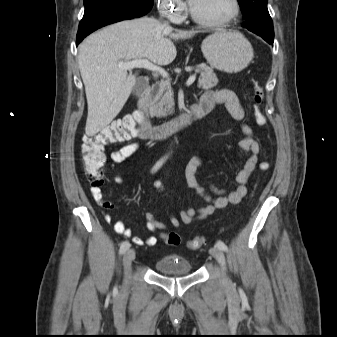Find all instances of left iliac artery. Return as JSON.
<instances>
[{
    "label": "left iliac artery",
    "instance_id": "1",
    "mask_svg": "<svg viewBox=\"0 0 337 337\" xmlns=\"http://www.w3.org/2000/svg\"><path fill=\"white\" fill-rule=\"evenodd\" d=\"M215 247H217L218 249H220L222 251H227L228 250L226 244L224 242H222V241H217Z\"/></svg>",
    "mask_w": 337,
    "mask_h": 337
}]
</instances>
